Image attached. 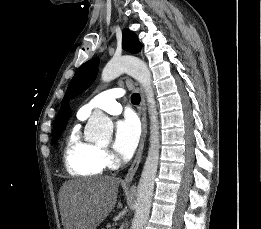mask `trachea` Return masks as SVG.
I'll list each match as a JSON object with an SVG mask.
<instances>
[{
    "instance_id": "obj_1",
    "label": "trachea",
    "mask_w": 261,
    "mask_h": 229,
    "mask_svg": "<svg viewBox=\"0 0 261 229\" xmlns=\"http://www.w3.org/2000/svg\"><path fill=\"white\" fill-rule=\"evenodd\" d=\"M131 101H132L133 104L138 105L141 101L140 95L138 93L132 94Z\"/></svg>"
}]
</instances>
